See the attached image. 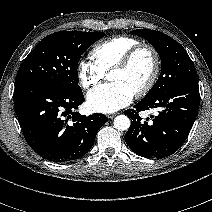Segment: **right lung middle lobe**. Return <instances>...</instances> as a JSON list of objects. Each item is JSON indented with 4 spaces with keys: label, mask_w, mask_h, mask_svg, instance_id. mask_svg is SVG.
<instances>
[{
    "label": "right lung middle lobe",
    "mask_w": 212,
    "mask_h": 212,
    "mask_svg": "<svg viewBox=\"0 0 212 212\" xmlns=\"http://www.w3.org/2000/svg\"><path fill=\"white\" fill-rule=\"evenodd\" d=\"M104 32L63 31L43 38L22 63L15 85L34 82L56 84L71 93L82 92L77 67L80 56Z\"/></svg>",
    "instance_id": "obj_1"
}]
</instances>
